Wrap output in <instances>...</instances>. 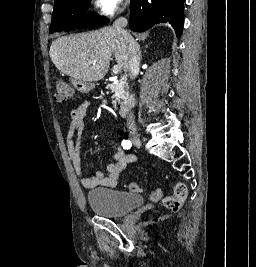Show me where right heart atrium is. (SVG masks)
<instances>
[{
	"label": "right heart atrium",
	"mask_w": 256,
	"mask_h": 267,
	"mask_svg": "<svg viewBox=\"0 0 256 267\" xmlns=\"http://www.w3.org/2000/svg\"><path fill=\"white\" fill-rule=\"evenodd\" d=\"M114 16V12L109 13L108 18H112ZM109 55V54H107Z\"/></svg>",
	"instance_id": "1"
}]
</instances>
